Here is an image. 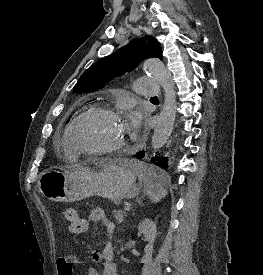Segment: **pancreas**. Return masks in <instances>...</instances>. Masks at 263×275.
I'll use <instances>...</instances> for the list:
<instances>
[{
  "label": "pancreas",
  "instance_id": "1",
  "mask_svg": "<svg viewBox=\"0 0 263 275\" xmlns=\"http://www.w3.org/2000/svg\"><path fill=\"white\" fill-rule=\"evenodd\" d=\"M113 214L115 216V218L117 219V221L120 223L123 221V218L125 216V212L122 210H114Z\"/></svg>",
  "mask_w": 263,
  "mask_h": 275
}]
</instances>
